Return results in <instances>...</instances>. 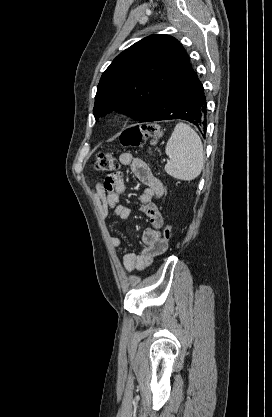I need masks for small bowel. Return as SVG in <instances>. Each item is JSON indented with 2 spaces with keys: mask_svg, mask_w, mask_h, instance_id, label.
Returning a JSON list of instances; mask_svg holds the SVG:
<instances>
[{
  "mask_svg": "<svg viewBox=\"0 0 272 417\" xmlns=\"http://www.w3.org/2000/svg\"><path fill=\"white\" fill-rule=\"evenodd\" d=\"M118 158L122 165L130 167L133 175L145 186L139 196L142 210L149 222V227L144 231L142 237L145 248L141 252H129L123 257L125 270L141 271L148 267L153 259L162 254L167 247V242L163 241L161 236L163 217L154 203L156 199L163 196L164 186L142 159L127 152L121 153ZM125 190V179L122 174L109 175L95 184L93 197L102 217H107L111 210L114 215L123 220L130 216L131 208L122 204ZM122 243L123 241L119 237L111 238V244L114 247H120Z\"/></svg>",
  "mask_w": 272,
  "mask_h": 417,
  "instance_id": "c3829d8e",
  "label": "small bowel"
}]
</instances>
